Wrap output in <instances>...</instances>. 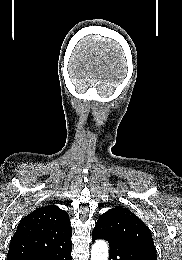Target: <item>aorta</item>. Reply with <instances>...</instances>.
<instances>
[{"label":"aorta","mask_w":182,"mask_h":260,"mask_svg":"<svg viewBox=\"0 0 182 260\" xmlns=\"http://www.w3.org/2000/svg\"><path fill=\"white\" fill-rule=\"evenodd\" d=\"M91 260H108V244L105 241L98 240L93 244Z\"/></svg>","instance_id":"obj_1"}]
</instances>
